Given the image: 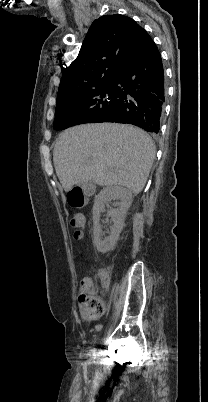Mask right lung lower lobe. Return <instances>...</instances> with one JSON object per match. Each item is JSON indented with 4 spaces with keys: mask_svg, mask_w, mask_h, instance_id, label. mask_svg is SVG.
Wrapping results in <instances>:
<instances>
[{
    "mask_svg": "<svg viewBox=\"0 0 208 402\" xmlns=\"http://www.w3.org/2000/svg\"><path fill=\"white\" fill-rule=\"evenodd\" d=\"M116 103L108 112L82 122H62L57 130L82 123L133 124L157 134L165 102L164 70L154 41L146 34L114 80Z\"/></svg>",
    "mask_w": 208,
    "mask_h": 402,
    "instance_id": "obj_1",
    "label": "right lung lower lobe"
}]
</instances>
